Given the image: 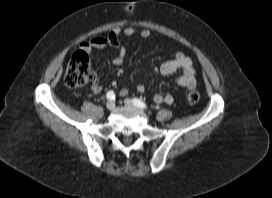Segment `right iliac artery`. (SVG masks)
<instances>
[{
  "label": "right iliac artery",
  "mask_w": 272,
  "mask_h": 198,
  "mask_svg": "<svg viewBox=\"0 0 272 198\" xmlns=\"http://www.w3.org/2000/svg\"><path fill=\"white\" fill-rule=\"evenodd\" d=\"M106 97L109 100H113L115 99V93L113 91H108Z\"/></svg>",
  "instance_id": "82829eb1"
}]
</instances>
